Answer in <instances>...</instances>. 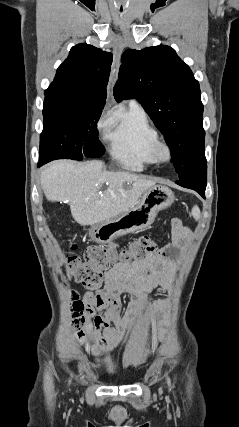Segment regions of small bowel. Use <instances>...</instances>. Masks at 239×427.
<instances>
[{"label": "small bowel", "mask_w": 239, "mask_h": 427, "mask_svg": "<svg viewBox=\"0 0 239 427\" xmlns=\"http://www.w3.org/2000/svg\"><path fill=\"white\" fill-rule=\"evenodd\" d=\"M188 239L189 231L182 227L180 220L174 219L170 244L137 259L132 264L116 263L105 273L103 286L95 294L87 296V300L97 309H107L105 317L94 318L91 335L92 340L99 342V346L93 348L98 364H105L103 354L113 351L125 340L127 332L134 325L133 316L155 318L164 314L167 299H159L150 304L147 293L157 287L169 286L175 268L174 258ZM121 292H127L131 296L123 316L119 298ZM111 323H114L116 328H113Z\"/></svg>", "instance_id": "obj_1"}]
</instances>
